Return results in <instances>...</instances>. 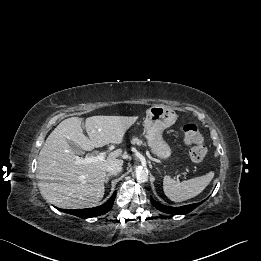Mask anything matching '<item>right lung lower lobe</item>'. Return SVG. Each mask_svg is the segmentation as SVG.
Returning a JSON list of instances; mask_svg holds the SVG:
<instances>
[{
	"mask_svg": "<svg viewBox=\"0 0 261 261\" xmlns=\"http://www.w3.org/2000/svg\"><path fill=\"white\" fill-rule=\"evenodd\" d=\"M115 196H116V192H114L112 197L106 203L98 207L88 208V209H77V210H63V211L81 218L100 216L102 214H105L112 208L115 200Z\"/></svg>",
	"mask_w": 261,
	"mask_h": 261,
	"instance_id": "98d812e1",
	"label": "right lung lower lobe"
}]
</instances>
